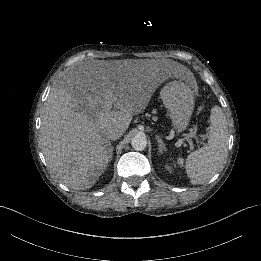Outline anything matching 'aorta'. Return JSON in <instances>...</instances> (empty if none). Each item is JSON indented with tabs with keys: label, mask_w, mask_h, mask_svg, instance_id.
<instances>
[{
	"label": "aorta",
	"mask_w": 261,
	"mask_h": 261,
	"mask_svg": "<svg viewBox=\"0 0 261 261\" xmlns=\"http://www.w3.org/2000/svg\"><path fill=\"white\" fill-rule=\"evenodd\" d=\"M131 146L136 151H142L146 149L147 139L145 135L137 134L131 139Z\"/></svg>",
	"instance_id": "1"
}]
</instances>
